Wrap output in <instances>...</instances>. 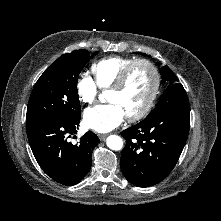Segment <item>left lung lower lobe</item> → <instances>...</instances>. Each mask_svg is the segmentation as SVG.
Here are the masks:
<instances>
[{
    "instance_id": "0a47b994",
    "label": "left lung lower lobe",
    "mask_w": 221,
    "mask_h": 221,
    "mask_svg": "<svg viewBox=\"0 0 221 221\" xmlns=\"http://www.w3.org/2000/svg\"><path fill=\"white\" fill-rule=\"evenodd\" d=\"M190 129L187 94H170L166 103L143 121L125 129L121 171L135 186L161 182L175 167Z\"/></svg>"
}]
</instances>
